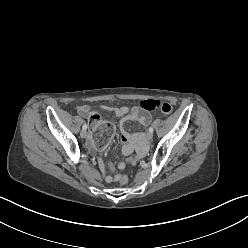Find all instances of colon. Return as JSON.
<instances>
[{
  "mask_svg": "<svg viewBox=\"0 0 248 248\" xmlns=\"http://www.w3.org/2000/svg\"><path fill=\"white\" fill-rule=\"evenodd\" d=\"M140 108L144 111H160L163 114L169 115L172 113V106L165 102L156 99H148L140 102ZM158 120H164V115H158ZM88 128L92 131V136L95 139L94 146L98 150H104L108 146V142L114 134L115 126L111 122L102 121L99 114H94L88 119ZM131 159H127L126 163H129ZM116 181L125 186L128 183V177L124 174L116 176Z\"/></svg>",
  "mask_w": 248,
  "mask_h": 248,
  "instance_id": "5ec220e1",
  "label": "colon"
}]
</instances>
